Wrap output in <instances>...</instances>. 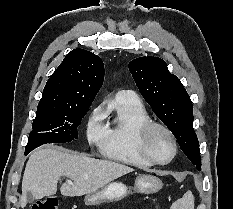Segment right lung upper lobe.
I'll list each match as a JSON object with an SVG mask.
<instances>
[{"mask_svg":"<svg viewBox=\"0 0 233 209\" xmlns=\"http://www.w3.org/2000/svg\"><path fill=\"white\" fill-rule=\"evenodd\" d=\"M104 73L100 57L84 49L72 50L47 81L37 111L56 113L91 105Z\"/></svg>","mask_w":233,"mask_h":209,"instance_id":"1","label":"right lung upper lobe"}]
</instances>
